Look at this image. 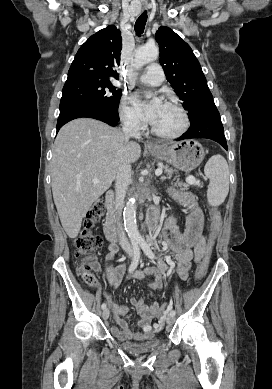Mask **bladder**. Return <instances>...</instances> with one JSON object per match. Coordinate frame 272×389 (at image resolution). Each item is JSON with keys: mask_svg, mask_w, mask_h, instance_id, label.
I'll return each instance as SVG.
<instances>
[{"mask_svg": "<svg viewBox=\"0 0 272 389\" xmlns=\"http://www.w3.org/2000/svg\"><path fill=\"white\" fill-rule=\"evenodd\" d=\"M160 344H161V340L158 338H150L141 343H135L130 341H119V345L121 346V348L135 355L152 352L155 349H157L160 346Z\"/></svg>", "mask_w": 272, "mask_h": 389, "instance_id": "bladder-1", "label": "bladder"}]
</instances>
